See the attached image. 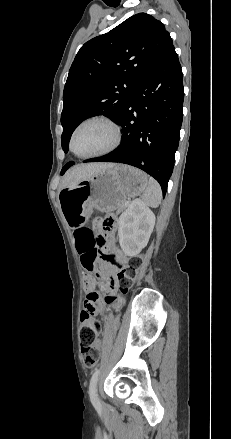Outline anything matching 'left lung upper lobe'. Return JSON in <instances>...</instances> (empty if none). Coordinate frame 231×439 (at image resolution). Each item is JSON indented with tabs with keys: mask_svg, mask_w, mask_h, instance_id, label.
I'll return each mask as SVG.
<instances>
[{
	"mask_svg": "<svg viewBox=\"0 0 231 439\" xmlns=\"http://www.w3.org/2000/svg\"><path fill=\"white\" fill-rule=\"evenodd\" d=\"M172 46L163 23L146 13L136 14L86 42L72 63L64 87V152H68L71 134L83 120L103 114L117 122L136 84Z\"/></svg>",
	"mask_w": 231,
	"mask_h": 439,
	"instance_id": "obj_1",
	"label": "left lung upper lobe"
}]
</instances>
